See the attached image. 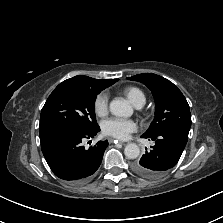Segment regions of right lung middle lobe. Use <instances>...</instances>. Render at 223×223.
<instances>
[{
    "label": "right lung middle lobe",
    "instance_id": "1",
    "mask_svg": "<svg viewBox=\"0 0 223 223\" xmlns=\"http://www.w3.org/2000/svg\"><path fill=\"white\" fill-rule=\"evenodd\" d=\"M105 86L61 83L48 97L40 116L39 133L69 126L85 131L98 128L95 100Z\"/></svg>",
    "mask_w": 223,
    "mask_h": 223
}]
</instances>
